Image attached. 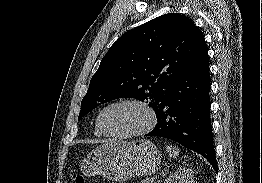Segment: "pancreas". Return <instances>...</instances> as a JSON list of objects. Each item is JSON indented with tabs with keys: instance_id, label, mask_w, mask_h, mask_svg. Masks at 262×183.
Returning a JSON list of instances; mask_svg holds the SVG:
<instances>
[{
	"instance_id": "1",
	"label": "pancreas",
	"mask_w": 262,
	"mask_h": 183,
	"mask_svg": "<svg viewBox=\"0 0 262 183\" xmlns=\"http://www.w3.org/2000/svg\"><path fill=\"white\" fill-rule=\"evenodd\" d=\"M141 183H151V180H143Z\"/></svg>"
}]
</instances>
